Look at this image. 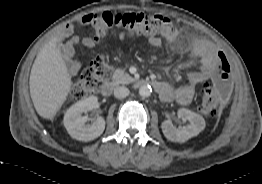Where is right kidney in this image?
Instances as JSON below:
<instances>
[{
  "label": "right kidney",
  "mask_w": 262,
  "mask_h": 184,
  "mask_svg": "<svg viewBox=\"0 0 262 184\" xmlns=\"http://www.w3.org/2000/svg\"><path fill=\"white\" fill-rule=\"evenodd\" d=\"M97 97H89L72 105L64 115V126L68 134L79 141L88 142L99 137L105 129V120L98 117L92 124H86L88 117L82 113L93 110Z\"/></svg>",
  "instance_id": "right-kidney-1"
}]
</instances>
